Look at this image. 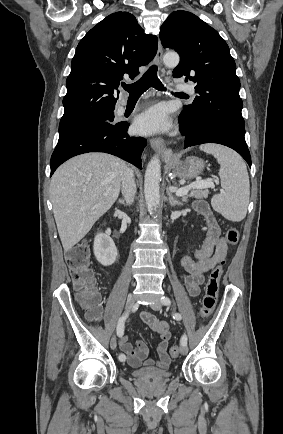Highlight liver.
I'll return each mask as SVG.
<instances>
[{"label": "liver", "instance_id": "1", "mask_svg": "<svg viewBox=\"0 0 283 434\" xmlns=\"http://www.w3.org/2000/svg\"><path fill=\"white\" fill-rule=\"evenodd\" d=\"M127 165L106 153H86L53 174L50 199L64 251H69L119 196Z\"/></svg>", "mask_w": 283, "mask_h": 434}]
</instances>
